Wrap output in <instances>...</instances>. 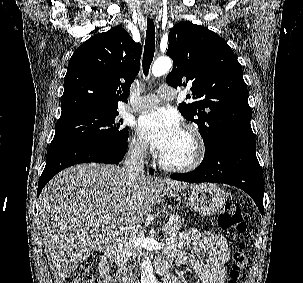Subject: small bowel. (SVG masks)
Instances as JSON below:
<instances>
[{"label": "small bowel", "mask_w": 303, "mask_h": 283, "mask_svg": "<svg viewBox=\"0 0 303 283\" xmlns=\"http://www.w3.org/2000/svg\"><path fill=\"white\" fill-rule=\"evenodd\" d=\"M177 246L182 249L176 261L177 268L191 265L196 271L200 283L225 282L226 267L230 261V251L226 239L222 235L212 232H201L194 228L187 229L167 241L164 253L165 260L170 261L175 257ZM189 246L192 247L194 252L206 254L208 258L206 260L197 258L189 252ZM110 269L111 266L108 259L105 257L100 258L98 265L99 283H113ZM169 279H173L174 283H182L178 280L175 273H171Z\"/></svg>", "instance_id": "c3829d8e"}]
</instances>
